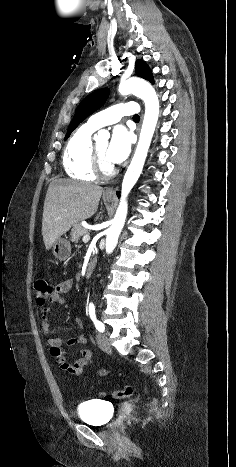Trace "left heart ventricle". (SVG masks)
I'll list each match as a JSON object with an SVG mask.
<instances>
[{
	"instance_id": "left-heart-ventricle-1",
	"label": "left heart ventricle",
	"mask_w": 236,
	"mask_h": 467,
	"mask_svg": "<svg viewBox=\"0 0 236 467\" xmlns=\"http://www.w3.org/2000/svg\"><path fill=\"white\" fill-rule=\"evenodd\" d=\"M108 145H109L108 141H103V142L96 144V147L102 159L106 163V165H112V163L107 158Z\"/></svg>"
}]
</instances>
